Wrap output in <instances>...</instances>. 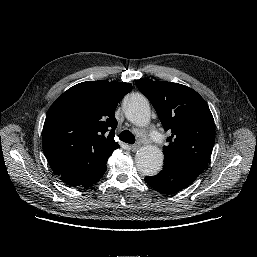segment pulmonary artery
I'll list each match as a JSON object with an SVG mask.
<instances>
[{"label":"pulmonary artery","mask_w":257,"mask_h":257,"mask_svg":"<svg viewBox=\"0 0 257 257\" xmlns=\"http://www.w3.org/2000/svg\"><path fill=\"white\" fill-rule=\"evenodd\" d=\"M154 139H155V141H157V142H159V141L162 140V138H161L158 134H156V135L154 136Z\"/></svg>","instance_id":"1"}]
</instances>
